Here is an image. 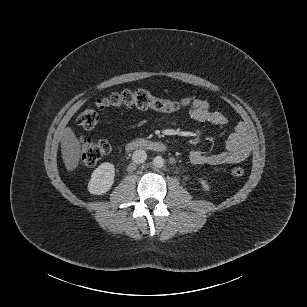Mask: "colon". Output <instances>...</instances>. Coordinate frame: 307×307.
Here are the masks:
<instances>
[{
	"label": "colon",
	"instance_id": "1",
	"mask_svg": "<svg viewBox=\"0 0 307 307\" xmlns=\"http://www.w3.org/2000/svg\"><path fill=\"white\" fill-rule=\"evenodd\" d=\"M193 101L189 97L180 100L157 98L146 89L123 90L98 99L78 116L77 123L84 129H92L98 123L99 112L109 108L136 107L141 110L166 113L188 107ZM79 146L81 162L86 166L97 164L111 149V144L108 140L87 137L79 138ZM244 172V169L240 166H235L231 169V175L236 178L242 177Z\"/></svg>",
	"mask_w": 307,
	"mask_h": 307
}]
</instances>
